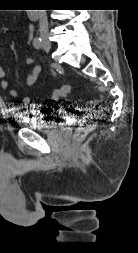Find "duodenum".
I'll return each instance as SVG.
<instances>
[{
  "label": "duodenum",
  "instance_id": "1",
  "mask_svg": "<svg viewBox=\"0 0 138 253\" xmlns=\"http://www.w3.org/2000/svg\"><path fill=\"white\" fill-rule=\"evenodd\" d=\"M38 17V11L37 9H30L28 11V18L31 20H35Z\"/></svg>",
  "mask_w": 138,
  "mask_h": 253
}]
</instances>
